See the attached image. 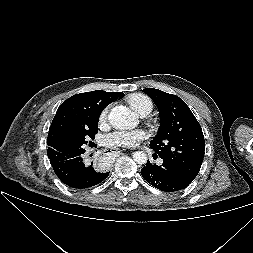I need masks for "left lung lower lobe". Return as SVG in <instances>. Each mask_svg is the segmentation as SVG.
<instances>
[{
	"mask_svg": "<svg viewBox=\"0 0 253 253\" xmlns=\"http://www.w3.org/2000/svg\"><path fill=\"white\" fill-rule=\"evenodd\" d=\"M141 175L150 185L164 192L185 189L195 178L175 163L165 159L160 166L147 161L141 169Z\"/></svg>",
	"mask_w": 253,
	"mask_h": 253,
	"instance_id": "0a47b994",
	"label": "left lung lower lobe"
}]
</instances>
